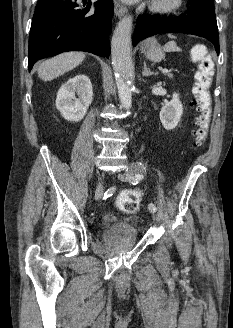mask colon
Instances as JSON below:
<instances>
[{"label": "colon", "instance_id": "1", "mask_svg": "<svg viewBox=\"0 0 233 328\" xmlns=\"http://www.w3.org/2000/svg\"><path fill=\"white\" fill-rule=\"evenodd\" d=\"M193 56L199 61L192 89V107L197 113L196 128L192 133V146L197 148L204 144L209 131L211 120L210 86L214 76V61L212 53L205 48L195 50ZM141 200V191L127 190L119 195L117 206L122 212L132 214L138 210Z\"/></svg>", "mask_w": 233, "mask_h": 328}]
</instances>
